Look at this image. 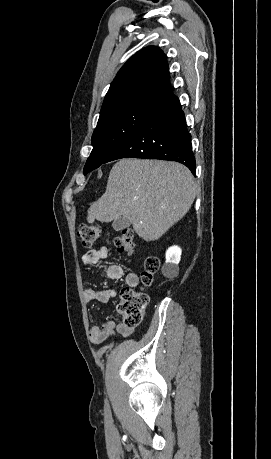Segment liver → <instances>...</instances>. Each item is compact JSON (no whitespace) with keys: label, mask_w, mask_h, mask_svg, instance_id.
<instances>
[{"label":"liver","mask_w":271,"mask_h":459,"mask_svg":"<svg viewBox=\"0 0 271 459\" xmlns=\"http://www.w3.org/2000/svg\"><path fill=\"white\" fill-rule=\"evenodd\" d=\"M196 196L183 164L123 158L113 166L105 194L88 210L87 222L126 218L136 233L153 241L189 212Z\"/></svg>","instance_id":"1"}]
</instances>
